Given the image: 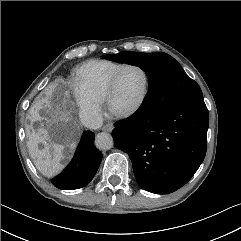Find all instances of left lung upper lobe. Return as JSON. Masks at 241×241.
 I'll return each mask as SVG.
<instances>
[{"mask_svg": "<svg viewBox=\"0 0 241 241\" xmlns=\"http://www.w3.org/2000/svg\"><path fill=\"white\" fill-rule=\"evenodd\" d=\"M103 58L119 63L137 64L149 77V90L159 86L165 90L171 101L202 96L199 85L168 54L122 51L105 55Z\"/></svg>", "mask_w": 241, "mask_h": 241, "instance_id": "left-lung-upper-lobe-1", "label": "left lung upper lobe"}]
</instances>
